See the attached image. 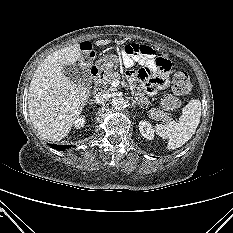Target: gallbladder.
Instances as JSON below:
<instances>
[{
	"instance_id": "1",
	"label": "gallbladder",
	"mask_w": 233,
	"mask_h": 233,
	"mask_svg": "<svg viewBox=\"0 0 233 233\" xmlns=\"http://www.w3.org/2000/svg\"><path fill=\"white\" fill-rule=\"evenodd\" d=\"M62 71L70 80L74 82L81 83L83 85L89 83V75L87 71L78 65H65L63 66Z\"/></svg>"
}]
</instances>
